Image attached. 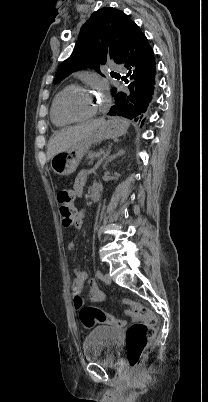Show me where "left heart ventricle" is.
<instances>
[{
  "instance_id": "obj_1",
  "label": "left heart ventricle",
  "mask_w": 208,
  "mask_h": 402,
  "mask_svg": "<svg viewBox=\"0 0 208 402\" xmlns=\"http://www.w3.org/2000/svg\"><path fill=\"white\" fill-rule=\"evenodd\" d=\"M100 98L89 90H74L65 97L67 109L74 114H86L98 105Z\"/></svg>"
}]
</instances>
